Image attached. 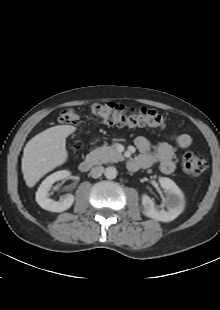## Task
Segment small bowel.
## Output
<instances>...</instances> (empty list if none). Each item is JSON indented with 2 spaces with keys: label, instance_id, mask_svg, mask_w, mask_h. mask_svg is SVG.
Returning <instances> with one entry per match:
<instances>
[{
  "label": "small bowel",
  "instance_id": "obj_1",
  "mask_svg": "<svg viewBox=\"0 0 220 310\" xmlns=\"http://www.w3.org/2000/svg\"><path fill=\"white\" fill-rule=\"evenodd\" d=\"M170 140L172 143L160 142L152 146L146 137L138 136L135 139V145L140 155L135 158V168H130V170L136 171L140 168H148L154 164H158L162 173H173L175 170V163L173 160L174 146L181 149L188 148L192 143V138L189 134L180 133L171 135Z\"/></svg>",
  "mask_w": 220,
  "mask_h": 310
}]
</instances>
